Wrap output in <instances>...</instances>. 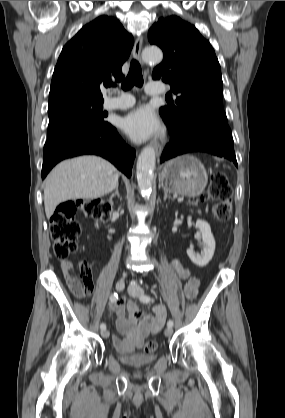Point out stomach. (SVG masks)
Instances as JSON below:
<instances>
[{"instance_id":"0dacf381","label":"stomach","mask_w":285,"mask_h":418,"mask_svg":"<svg viewBox=\"0 0 285 418\" xmlns=\"http://www.w3.org/2000/svg\"><path fill=\"white\" fill-rule=\"evenodd\" d=\"M160 178L165 191L188 197L200 195L208 182L203 164L191 155L179 156L166 162Z\"/></svg>"}]
</instances>
